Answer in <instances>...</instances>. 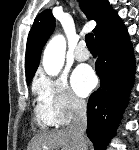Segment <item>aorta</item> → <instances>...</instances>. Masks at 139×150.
<instances>
[{"label": "aorta", "mask_w": 139, "mask_h": 150, "mask_svg": "<svg viewBox=\"0 0 139 150\" xmlns=\"http://www.w3.org/2000/svg\"><path fill=\"white\" fill-rule=\"evenodd\" d=\"M66 52V40L63 35L54 36L47 44L43 55V67L48 75L56 76L61 71Z\"/></svg>", "instance_id": "obj_1"}]
</instances>
